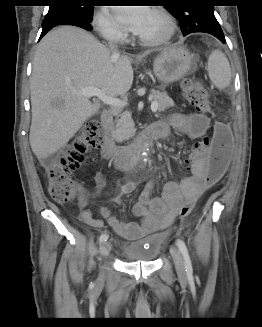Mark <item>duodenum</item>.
I'll return each instance as SVG.
<instances>
[{
  "instance_id": "duodenum-1",
  "label": "duodenum",
  "mask_w": 262,
  "mask_h": 327,
  "mask_svg": "<svg viewBox=\"0 0 262 327\" xmlns=\"http://www.w3.org/2000/svg\"><path fill=\"white\" fill-rule=\"evenodd\" d=\"M101 123L106 133V139L101 146L100 154L104 160H114L119 166L133 168L159 138L158 124L151 126L148 132L139 136L126 146L116 144L113 137V112L104 110L101 114Z\"/></svg>"
}]
</instances>
